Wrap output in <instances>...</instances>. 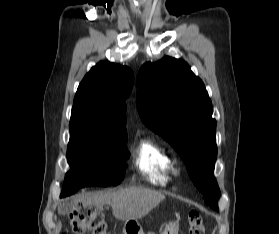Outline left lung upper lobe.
<instances>
[{
	"label": "left lung upper lobe",
	"instance_id": "5c2ea615",
	"mask_svg": "<svg viewBox=\"0 0 279 234\" xmlns=\"http://www.w3.org/2000/svg\"><path fill=\"white\" fill-rule=\"evenodd\" d=\"M137 109L145 125L181 156L205 203L218 210L216 120L201 79L181 59L147 62L137 77Z\"/></svg>",
	"mask_w": 279,
	"mask_h": 234
}]
</instances>
